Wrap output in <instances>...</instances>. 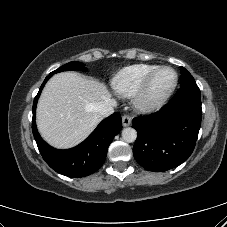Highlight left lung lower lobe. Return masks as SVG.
I'll list each match as a JSON object with an SVG mask.
<instances>
[{
    "instance_id": "1",
    "label": "left lung lower lobe",
    "mask_w": 227,
    "mask_h": 227,
    "mask_svg": "<svg viewBox=\"0 0 227 227\" xmlns=\"http://www.w3.org/2000/svg\"><path fill=\"white\" fill-rule=\"evenodd\" d=\"M200 89L195 81L182 84L159 111L132 120L138 131L133 155L145 169L175 168L192 154L201 126Z\"/></svg>"
}]
</instances>
